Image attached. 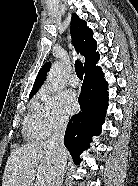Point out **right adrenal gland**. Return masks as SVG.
Segmentation results:
<instances>
[{
    "label": "right adrenal gland",
    "instance_id": "2a0ac1e0",
    "mask_svg": "<svg viewBox=\"0 0 138 186\" xmlns=\"http://www.w3.org/2000/svg\"><path fill=\"white\" fill-rule=\"evenodd\" d=\"M65 173H66V170H65L64 173H63L62 180H61V185H62V183H63Z\"/></svg>",
    "mask_w": 138,
    "mask_h": 186
}]
</instances>
